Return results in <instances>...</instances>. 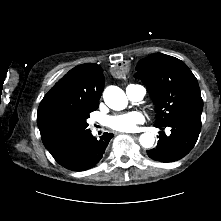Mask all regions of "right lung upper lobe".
<instances>
[{
	"label": "right lung upper lobe",
	"instance_id": "1",
	"mask_svg": "<svg viewBox=\"0 0 221 221\" xmlns=\"http://www.w3.org/2000/svg\"><path fill=\"white\" fill-rule=\"evenodd\" d=\"M104 88V76L98 64L86 63L71 69L44 96L38 108L41 123L48 113L60 109L95 111Z\"/></svg>",
	"mask_w": 221,
	"mask_h": 221
}]
</instances>
